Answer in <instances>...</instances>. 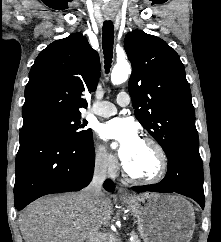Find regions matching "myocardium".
Listing matches in <instances>:
<instances>
[{
    "label": "myocardium",
    "mask_w": 221,
    "mask_h": 242,
    "mask_svg": "<svg viewBox=\"0 0 221 242\" xmlns=\"http://www.w3.org/2000/svg\"><path fill=\"white\" fill-rule=\"evenodd\" d=\"M141 141L149 145L154 151L155 157L157 159L156 171L149 176L136 175L128 169L125 162H123V170L127 178L131 181L142 184H153L163 179V177L166 175L168 169L167 155L163 147L155 139L150 137H144Z\"/></svg>",
    "instance_id": "1"
}]
</instances>
